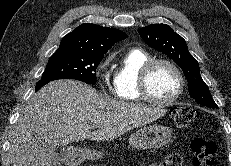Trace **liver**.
Returning <instances> with one entry per match:
<instances>
[{
  "label": "liver",
  "mask_w": 231,
  "mask_h": 166,
  "mask_svg": "<svg viewBox=\"0 0 231 166\" xmlns=\"http://www.w3.org/2000/svg\"><path fill=\"white\" fill-rule=\"evenodd\" d=\"M165 113L160 106L111 100L82 82L53 81L20 114L10 139L9 162L11 166H48L59 145L112 140Z\"/></svg>",
  "instance_id": "obj_1"
}]
</instances>
